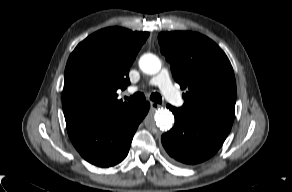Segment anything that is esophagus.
I'll use <instances>...</instances> for the list:
<instances>
[{
  "instance_id": "34e87169",
  "label": "esophagus",
  "mask_w": 292,
  "mask_h": 192,
  "mask_svg": "<svg viewBox=\"0 0 292 192\" xmlns=\"http://www.w3.org/2000/svg\"><path fill=\"white\" fill-rule=\"evenodd\" d=\"M150 107L152 110H156L160 107V105L158 103H155V102H150Z\"/></svg>"
}]
</instances>
